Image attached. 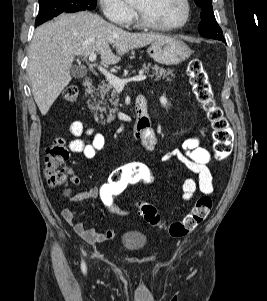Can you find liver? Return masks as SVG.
I'll list each match as a JSON object with an SVG mask.
<instances>
[{
  "mask_svg": "<svg viewBox=\"0 0 267 301\" xmlns=\"http://www.w3.org/2000/svg\"><path fill=\"white\" fill-rule=\"evenodd\" d=\"M155 33H130L95 13L61 14L38 27L29 49L27 72L34 100L46 115L71 81L70 67L76 56L99 53L102 64L113 65L130 50L161 38ZM110 45L116 48L115 55Z\"/></svg>",
  "mask_w": 267,
  "mask_h": 301,
  "instance_id": "6515ba94",
  "label": "liver"
}]
</instances>
